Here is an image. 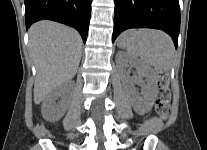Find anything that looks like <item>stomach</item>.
<instances>
[{
  "mask_svg": "<svg viewBox=\"0 0 207 150\" xmlns=\"http://www.w3.org/2000/svg\"><path fill=\"white\" fill-rule=\"evenodd\" d=\"M133 40H134L133 33H125L119 38L118 46L119 47H126L128 44L132 43Z\"/></svg>",
  "mask_w": 207,
  "mask_h": 150,
  "instance_id": "obj_1",
  "label": "stomach"
}]
</instances>
